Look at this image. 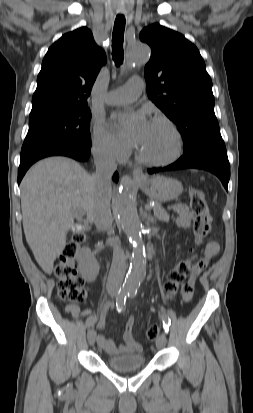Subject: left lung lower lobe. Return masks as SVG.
<instances>
[{
  "mask_svg": "<svg viewBox=\"0 0 253 413\" xmlns=\"http://www.w3.org/2000/svg\"><path fill=\"white\" fill-rule=\"evenodd\" d=\"M186 168H197L207 170L215 174L222 182L227 190L230 179V164L227 157L226 148H212L206 151L200 157L182 156L175 163L165 168H152L148 172L150 174L166 170H178Z\"/></svg>",
  "mask_w": 253,
  "mask_h": 413,
  "instance_id": "1",
  "label": "left lung lower lobe"
}]
</instances>
